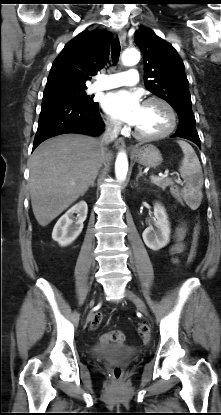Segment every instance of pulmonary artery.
<instances>
[{
  "instance_id": "pulmonary-artery-1",
  "label": "pulmonary artery",
  "mask_w": 221,
  "mask_h": 415,
  "mask_svg": "<svg viewBox=\"0 0 221 415\" xmlns=\"http://www.w3.org/2000/svg\"><path fill=\"white\" fill-rule=\"evenodd\" d=\"M139 80L137 70L130 69L125 72L102 75L99 79L90 87L91 92L109 90L120 86H132Z\"/></svg>"
}]
</instances>
